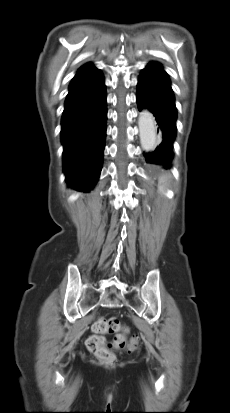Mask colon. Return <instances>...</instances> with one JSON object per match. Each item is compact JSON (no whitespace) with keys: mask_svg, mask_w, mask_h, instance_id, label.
<instances>
[{"mask_svg":"<svg viewBox=\"0 0 230 413\" xmlns=\"http://www.w3.org/2000/svg\"><path fill=\"white\" fill-rule=\"evenodd\" d=\"M93 330L95 335H92L87 340L88 350L101 362L106 364H113L116 361L114 353L111 351V347L123 348L125 345V338L121 331H125L126 328L121 326L118 319L115 317H100L93 324ZM104 333H118L112 344H108L104 337L100 334ZM137 339L131 340V349L135 348Z\"/></svg>","mask_w":230,"mask_h":413,"instance_id":"5ec220e1","label":"colon"}]
</instances>
